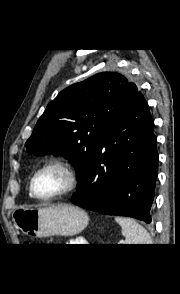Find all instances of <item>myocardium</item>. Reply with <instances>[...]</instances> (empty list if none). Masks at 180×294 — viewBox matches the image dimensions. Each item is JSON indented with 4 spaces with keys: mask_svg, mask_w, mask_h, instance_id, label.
Segmentation results:
<instances>
[{
    "mask_svg": "<svg viewBox=\"0 0 180 294\" xmlns=\"http://www.w3.org/2000/svg\"><path fill=\"white\" fill-rule=\"evenodd\" d=\"M49 169H58L61 172H63L66 177V183H65V186L60 191L52 195L41 196L36 191L35 182L39 174ZM77 185H78V175L73 164L66 159H53L45 163L38 170H36V172L31 177L29 189H30V193L38 200L51 201L71 193L72 191L76 189Z\"/></svg>",
    "mask_w": 180,
    "mask_h": 294,
    "instance_id": "f54148a6",
    "label": "myocardium"
}]
</instances>
